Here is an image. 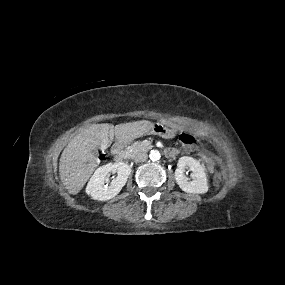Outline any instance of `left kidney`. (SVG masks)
<instances>
[{
	"instance_id": "5707ae66",
	"label": "left kidney",
	"mask_w": 285,
	"mask_h": 285,
	"mask_svg": "<svg viewBox=\"0 0 285 285\" xmlns=\"http://www.w3.org/2000/svg\"><path fill=\"white\" fill-rule=\"evenodd\" d=\"M185 169L192 171L191 181L184 175ZM174 176L179 187L187 193L203 194L208 191L204 167L192 157L183 156L179 159Z\"/></svg>"
}]
</instances>
